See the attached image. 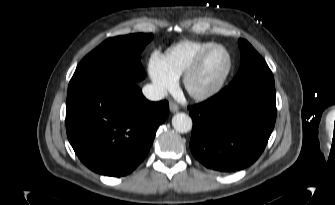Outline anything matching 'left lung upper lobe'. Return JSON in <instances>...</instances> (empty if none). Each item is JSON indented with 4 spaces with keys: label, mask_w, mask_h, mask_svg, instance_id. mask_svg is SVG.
I'll return each mask as SVG.
<instances>
[{
    "label": "left lung upper lobe",
    "mask_w": 335,
    "mask_h": 205,
    "mask_svg": "<svg viewBox=\"0 0 335 205\" xmlns=\"http://www.w3.org/2000/svg\"><path fill=\"white\" fill-rule=\"evenodd\" d=\"M241 52L240 69L230 84L262 82L275 85L274 77L265 60L244 39L238 41Z\"/></svg>",
    "instance_id": "obj_1"
}]
</instances>
